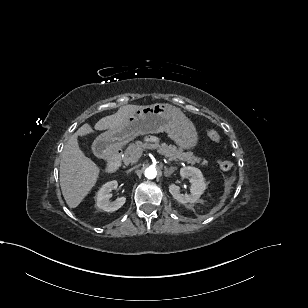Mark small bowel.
Returning <instances> with one entry per match:
<instances>
[{"instance_id":"1","label":"small bowel","mask_w":308,"mask_h":308,"mask_svg":"<svg viewBox=\"0 0 308 308\" xmlns=\"http://www.w3.org/2000/svg\"><path fill=\"white\" fill-rule=\"evenodd\" d=\"M150 140H151V141H155V139H154V138H150Z\"/></svg>"}]
</instances>
